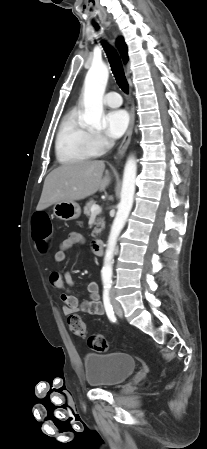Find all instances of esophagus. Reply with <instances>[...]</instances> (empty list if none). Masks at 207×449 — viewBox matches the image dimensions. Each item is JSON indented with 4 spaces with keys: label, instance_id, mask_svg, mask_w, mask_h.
Listing matches in <instances>:
<instances>
[{
    "label": "esophagus",
    "instance_id": "esophagus-1",
    "mask_svg": "<svg viewBox=\"0 0 207 449\" xmlns=\"http://www.w3.org/2000/svg\"><path fill=\"white\" fill-rule=\"evenodd\" d=\"M134 123H135V111H134V107L132 106L131 110H130L129 127H128L127 131H126V134H125V136H124V138H123L119 148H118L116 159L121 158L123 156V154L125 153L128 145L130 143V140H131V136H132L133 128H134Z\"/></svg>",
    "mask_w": 207,
    "mask_h": 449
}]
</instances>
